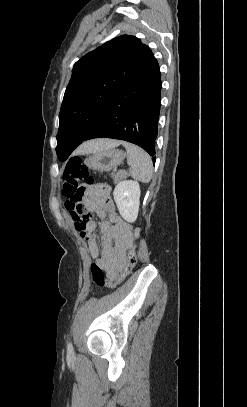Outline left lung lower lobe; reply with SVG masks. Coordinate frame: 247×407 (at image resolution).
<instances>
[{"instance_id": "obj_1", "label": "left lung lower lobe", "mask_w": 247, "mask_h": 407, "mask_svg": "<svg viewBox=\"0 0 247 407\" xmlns=\"http://www.w3.org/2000/svg\"><path fill=\"white\" fill-rule=\"evenodd\" d=\"M161 85L159 65L153 57L118 93L85 141L101 137L128 141L147 151L155 163Z\"/></svg>"}]
</instances>
